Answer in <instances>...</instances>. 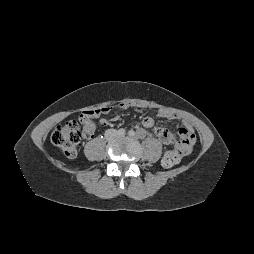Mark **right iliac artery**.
<instances>
[{
  "label": "right iliac artery",
  "instance_id": "1",
  "mask_svg": "<svg viewBox=\"0 0 254 254\" xmlns=\"http://www.w3.org/2000/svg\"><path fill=\"white\" fill-rule=\"evenodd\" d=\"M125 133H126V131L123 128L118 130L119 135H125Z\"/></svg>",
  "mask_w": 254,
  "mask_h": 254
}]
</instances>
